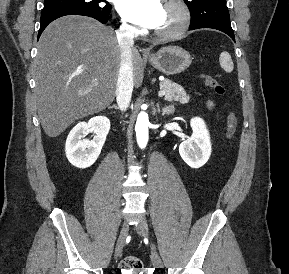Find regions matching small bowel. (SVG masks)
Listing matches in <instances>:
<instances>
[{
  "instance_id": "1",
  "label": "small bowel",
  "mask_w": 289,
  "mask_h": 274,
  "mask_svg": "<svg viewBox=\"0 0 289 274\" xmlns=\"http://www.w3.org/2000/svg\"><path fill=\"white\" fill-rule=\"evenodd\" d=\"M205 105H206V107H207L208 109H210V110L214 109V103H213L211 100H207V101L205 102Z\"/></svg>"
}]
</instances>
